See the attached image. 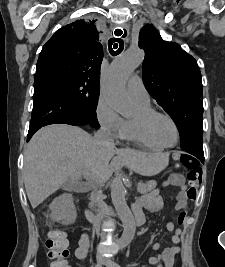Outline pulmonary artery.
I'll use <instances>...</instances> for the list:
<instances>
[{
    "instance_id": "e3ab8cb5",
    "label": "pulmonary artery",
    "mask_w": 225,
    "mask_h": 267,
    "mask_svg": "<svg viewBox=\"0 0 225 267\" xmlns=\"http://www.w3.org/2000/svg\"><path fill=\"white\" fill-rule=\"evenodd\" d=\"M127 91L129 96L136 101H148L149 94L144 86L142 78L139 75L130 77L127 83Z\"/></svg>"
}]
</instances>
